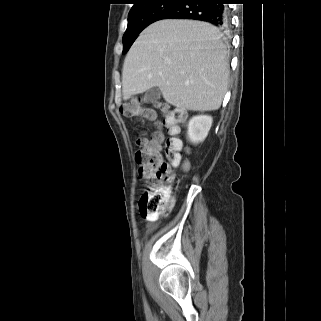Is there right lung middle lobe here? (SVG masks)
Returning a JSON list of instances; mask_svg holds the SVG:
<instances>
[{
    "label": "right lung middle lobe",
    "instance_id": "right-lung-middle-lobe-1",
    "mask_svg": "<svg viewBox=\"0 0 321 321\" xmlns=\"http://www.w3.org/2000/svg\"><path fill=\"white\" fill-rule=\"evenodd\" d=\"M179 0H151L142 5L133 6L128 16L127 30L123 36V54H125L138 35L159 17L174 7Z\"/></svg>",
    "mask_w": 321,
    "mask_h": 321
}]
</instances>
